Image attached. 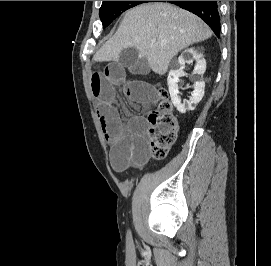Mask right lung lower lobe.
Returning <instances> with one entry per match:
<instances>
[{"mask_svg":"<svg viewBox=\"0 0 271 266\" xmlns=\"http://www.w3.org/2000/svg\"><path fill=\"white\" fill-rule=\"evenodd\" d=\"M154 2V1H150ZM170 2L186 9L206 22L217 37L220 36V17L217 1H158Z\"/></svg>","mask_w":271,"mask_h":266,"instance_id":"98d812e1","label":"right lung lower lobe"}]
</instances>
